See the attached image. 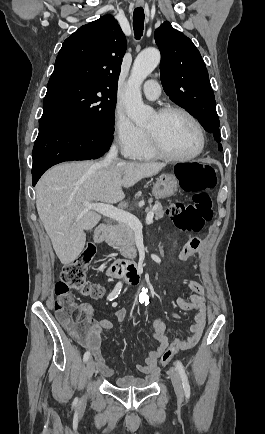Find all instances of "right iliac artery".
Instances as JSON below:
<instances>
[{"mask_svg":"<svg viewBox=\"0 0 265 434\" xmlns=\"http://www.w3.org/2000/svg\"><path fill=\"white\" fill-rule=\"evenodd\" d=\"M122 283L118 282L114 288V290L107 296V300L112 301L118 297L122 289ZM90 358V351H86L83 357L84 362H87ZM76 400V399H75Z\"/></svg>","mask_w":265,"mask_h":434,"instance_id":"1","label":"right iliac artery"}]
</instances>
